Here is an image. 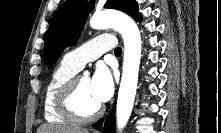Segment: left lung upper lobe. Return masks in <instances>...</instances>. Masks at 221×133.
Segmentation results:
<instances>
[{
  "mask_svg": "<svg viewBox=\"0 0 221 133\" xmlns=\"http://www.w3.org/2000/svg\"><path fill=\"white\" fill-rule=\"evenodd\" d=\"M94 0H67L55 13L45 40L44 61L52 67L63 50L73 45L79 38ZM105 8L123 11L141 20L135 0H107Z\"/></svg>",
  "mask_w": 221,
  "mask_h": 133,
  "instance_id": "obj_1",
  "label": "left lung upper lobe"
}]
</instances>
